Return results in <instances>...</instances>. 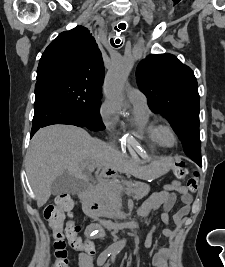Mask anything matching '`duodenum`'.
<instances>
[{"mask_svg":"<svg viewBox=\"0 0 225 267\" xmlns=\"http://www.w3.org/2000/svg\"><path fill=\"white\" fill-rule=\"evenodd\" d=\"M83 211L86 216L94 221L101 223L108 229H119L121 227H135L136 223L129 221L126 223H113L109 220L100 218L99 206L96 201L91 200L90 196H85L83 201Z\"/></svg>","mask_w":225,"mask_h":267,"instance_id":"duodenum-1","label":"duodenum"}]
</instances>
